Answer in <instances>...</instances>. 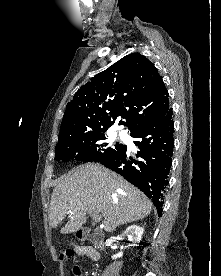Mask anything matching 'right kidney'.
Returning a JSON list of instances; mask_svg holds the SVG:
<instances>
[{
  "mask_svg": "<svg viewBox=\"0 0 221 276\" xmlns=\"http://www.w3.org/2000/svg\"><path fill=\"white\" fill-rule=\"evenodd\" d=\"M144 229L138 225H131L129 226L126 231L123 233V236H127L128 239L132 242V246H137L140 242L141 237L143 235ZM119 237H111L106 241V246H110L113 242ZM123 256V252H119L116 255L112 256V259L121 258Z\"/></svg>",
  "mask_w": 221,
  "mask_h": 276,
  "instance_id": "ca27d5eb",
  "label": "right kidney"
}]
</instances>
